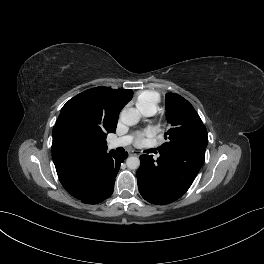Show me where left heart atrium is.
Returning <instances> with one entry per match:
<instances>
[{
  "mask_svg": "<svg viewBox=\"0 0 264 264\" xmlns=\"http://www.w3.org/2000/svg\"><path fill=\"white\" fill-rule=\"evenodd\" d=\"M144 136H145V134H143V133L138 134V136L136 138V143L141 144L143 142Z\"/></svg>",
  "mask_w": 264,
  "mask_h": 264,
  "instance_id": "obj_1",
  "label": "left heart atrium"
}]
</instances>
